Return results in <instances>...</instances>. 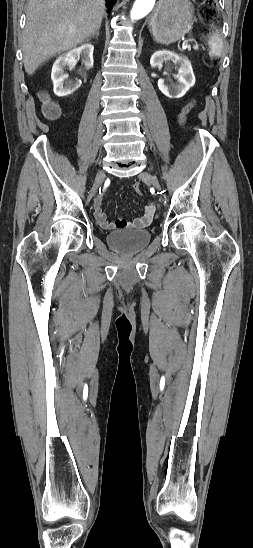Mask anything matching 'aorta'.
Masks as SVG:
<instances>
[{
  "instance_id": "aorta-1",
  "label": "aorta",
  "mask_w": 253,
  "mask_h": 548,
  "mask_svg": "<svg viewBox=\"0 0 253 548\" xmlns=\"http://www.w3.org/2000/svg\"><path fill=\"white\" fill-rule=\"evenodd\" d=\"M156 0H136L130 17L132 20H139L145 17L154 7Z\"/></svg>"
}]
</instances>
